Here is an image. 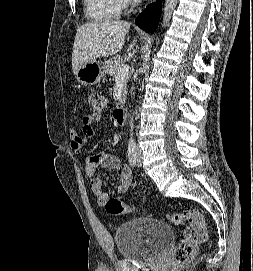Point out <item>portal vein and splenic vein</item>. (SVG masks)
<instances>
[{
    "label": "portal vein and splenic vein",
    "mask_w": 253,
    "mask_h": 271,
    "mask_svg": "<svg viewBox=\"0 0 253 271\" xmlns=\"http://www.w3.org/2000/svg\"><path fill=\"white\" fill-rule=\"evenodd\" d=\"M130 72V66L125 64L117 69V78H124Z\"/></svg>",
    "instance_id": "obj_1"
}]
</instances>
